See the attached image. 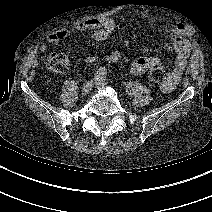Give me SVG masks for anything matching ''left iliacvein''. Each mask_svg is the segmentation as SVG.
<instances>
[{
    "label": "left iliac vein",
    "mask_w": 212,
    "mask_h": 212,
    "mask_svg": "<svg viewBox=\"0 0 212 212\" xmlns=\"http://www.w3.org/2000/svg\"><path fill=\"white\" fill-rule=\"evenodd\" d=\"M95 85H96V87L98 88V89H105L106 87H107V84H106V82H104L103 80H102V78L100 79V78H98L97 80H96V82H95Z\"/></svg>",
    "instance_id": "4c4485c4"
}]
</instances>
